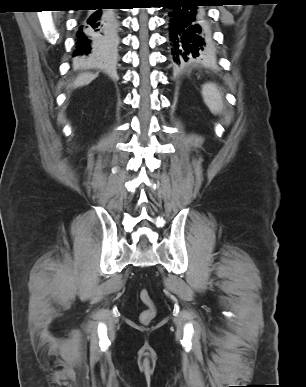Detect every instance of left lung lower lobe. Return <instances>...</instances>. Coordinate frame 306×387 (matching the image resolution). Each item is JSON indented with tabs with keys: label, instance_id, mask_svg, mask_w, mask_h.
Listing matches in <instances>:
<instances>
[{
	"label": "left lung lower lobe",
	"instance_id": "obj_1",
	"mask_svg": "<svg viewBox=\"0 0 306 387\" xmlns=\"http://www.w3.org/2000/svg\"><path fill=\"white\" fill-rule=\"evenodd\" d=\"M167 4L172 62L181 67L199 62L211 46L206 12L201 6L212 4L209 0H167Z\"/></svg>",
	"mask_w": 306,
	"mask_h": 387
}]
</instances>
